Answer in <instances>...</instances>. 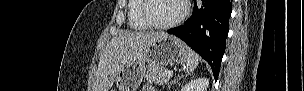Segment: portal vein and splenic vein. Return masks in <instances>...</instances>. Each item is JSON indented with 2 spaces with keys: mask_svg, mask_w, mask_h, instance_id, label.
Here are the masks:
<instances>
[{
  "mask_svg": "<svg viewBox=\"0 0 304 91\" xmlns=\"http://www.w3.org/2000/svg\"><path fill=\"white\" fill-rule=\"evenodd\" d=\"M172 75H173V71L169 70L167 72V78L169 79L170 77H172Z\"/></svg>",
  "mask_w": 304,
  "mask_h": 91,
  "instance_id": "1",
  "label": "portal vein and splenic vein"
}]
</instances>
